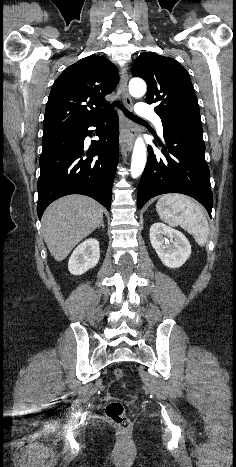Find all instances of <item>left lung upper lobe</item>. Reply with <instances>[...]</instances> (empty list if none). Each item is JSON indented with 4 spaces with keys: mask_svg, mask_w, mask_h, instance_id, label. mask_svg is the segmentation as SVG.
<instances>
[{
    "mask_svg": "<svg viewBox=\"0 0 236 467\" xmlns=\"http://www.w3.org/2000/svg\"><path fill=\"white\" fill-rule=\"evenodd\" d=\"M132 75L147 82L146 102L158 104L154 111L162 123H201L189 74L176 60L155 53H142L133 63Z\"/></svg>",
    "mask_w": 236,
    "mask_h": 467,
    "instance_id": "obj_1",
    "label": "left lung upper lobe"
}]
</instances>
